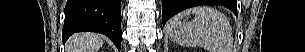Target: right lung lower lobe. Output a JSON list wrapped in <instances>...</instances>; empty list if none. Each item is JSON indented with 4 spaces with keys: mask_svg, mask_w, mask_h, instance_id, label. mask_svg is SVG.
Listing matches in <instances>:
<instances>
[{
    "mask_svg": "<svg viewBox=\"0 0 305 52\" xmlns=\"http://www.w3.org/2000/svg\"><path fill=\"white\" fill-rule=\"evenodd\" d=\"M121 0H68L65 6L63 42L72 34L91 31L106 35L120 50Z\"/></svg>",
    "mask_w": 305,
    "mask_h": 52,
    "instance_id": "1",
    "label": "right lung lower lobe"
}]
</instances>
